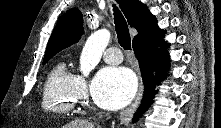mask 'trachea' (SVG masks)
<instances>
[{"label": "trachea", "mask_w": 221, "mask_h": 128, "mask_svg": "<svg viewBox=\"0 0 221 128\" xmlns=\"http://www.w3.org/2000/svg\"><path fill=\"white\" fill-rule=\"evenodd\" d=\"M114 15L118 42L124 49L128 50L131 47V38L127 23L116 7L114 8Z\"/></svg>", "instance_id": "obj_1"}]
</instances>
